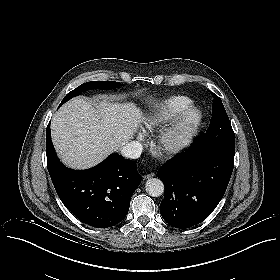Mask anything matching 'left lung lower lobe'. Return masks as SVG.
<instances>
[{
    "instance_id": "0a47b994",
    "label": "left lung lower lobe",
    "mask_w": 280,
    "mask_h": 280,
    "mask_svg": "<svg viewBox=\"0 0 280 280\" xmlns=\"http://www.w3.org/2000/svg\"><path fill=\"white\" fill-rule=\"evenodd\" d=\"M234 153L191 148L160 168L157 175L165 184L160 213L169 225L185 229L208 217L226 191Z\"/></svg>"
}]
</instances>
